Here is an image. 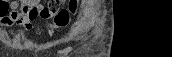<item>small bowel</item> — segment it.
<instances>
[{
	"instance_id": "c3829d8e",
	"label": "small bowel",
	"mask_w": 172,
	"mask_h": 57,
	"mask_svg": "<svg viewBox=\"0 0 172 57\" xmlns=\"http://www.w3.org/2000/svg\"><path fill=\"white\" fill-rule=\"evenodd\" d=\"M38 2V0H0V26L3 28L16 27L29 30L32 28V22L35 19H47L51 17L53 15V12H50L46 15L37 14L35 17H30L29 15L23 14L21 12V9L25 3H27L30 7L37 8L38 11L42 10L44 7L38 6Z\"/></svg>"
}]
</instances>
